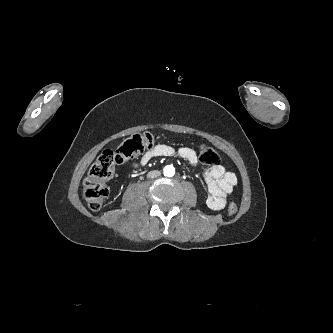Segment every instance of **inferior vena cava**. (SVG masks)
<instances>
[{
	"label": "inferior vena cava",
	"instance_id": "obj_1",
	"mask_svg": "<svg viewBox=\"0 0 333 333\" xmlns=\"http://www.w3.org/2000/svg\"><path fill=\"white\" fill-rule=\"evenodd\" d=\"M160 175V172L159 171H150L148 174H147V177L148 178H156Z\"/></svg>",
	"mask_w": 333,
	"mask_h": 333
}]
</instances>
